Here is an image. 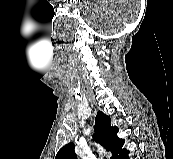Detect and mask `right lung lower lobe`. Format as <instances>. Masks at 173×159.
Here are the masks:
<instances>
[{
    "instance_id": "right-lung-lower-lobe-1",
    "label": "right lung lower lobe",
    "mask_w": 173,
    "mask_h": 159,
    "mask_svg": "<svg viewBox=\"0 0 173 159\" xmlns=\"http://www.w3.org/2000/svg\"><path fill=\"white\" fill-rule=\"evenodd\" d=\"M128 153H129V152H127V153L122 157V159H129Z\"/></svg>"
}]
</instances>
